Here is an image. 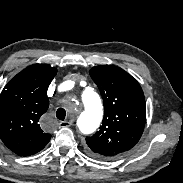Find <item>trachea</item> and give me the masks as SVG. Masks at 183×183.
Returning <instances> with one entry per match:
<instances>
[{
	"mask_svg": "<svg viewBox=\"0 0 183 183\" xmlns=\"http://www.w3.org/2000/svg\"><path fill=\"white\" fill-rule=\"evenodd\" d=\"M56 117L59 119V120H64L65 117H66V111L65 109L63 108H59L57 111H56Z\"/></svg>",
	"mask_w": 183,
	"mask_h": 183,
	"instance_id": "1",
	"label": "trachea"
}]
</instances>
